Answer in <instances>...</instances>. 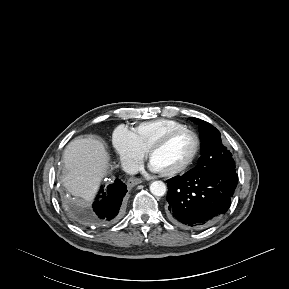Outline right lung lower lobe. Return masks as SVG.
<instances>
[{"label": "right lung lower lobe", "mask_w": 289, "mask_h": 289, "mask_svg": "<svg viewBox=\"0 0 289 289\" xmlns=\"http://www.w3.org/2000/svg\"><path fill=\"white\" fill-rule=\"evenodd\" d=\"M127 192L126 185L119 179L104 191L100 189L97 200L93 203V212L90 215V222L96 226H108L118 220L121 214V204ZM101 198V200H98Z\"/></svg>", "instance_id": "obj_1"}]
</instances>
